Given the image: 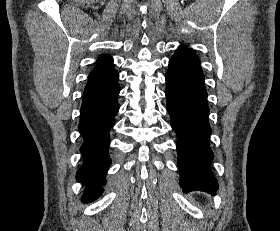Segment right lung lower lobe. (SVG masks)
<instances>
[{"label":"right lung lower lobe","instance_id":"98d812e1","mask_svg":"<svg viewBox=\"0 0 280 231\" xmlns=\"http://www.w3.org/2000/svg\"><path fill=\"white\" fill-rule=\"evenodd\" d=\"M119 92L120 88L116 86L82 99L78 129L84 140L80 148L84 162L77 171L76 178L87 186L82 197L85 202H91L100 196L104 177L111 163L108 154L109 131L119 110Z\"/></svg>","mask_w":280,"mask_h":231}]
</instances>
